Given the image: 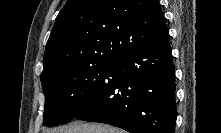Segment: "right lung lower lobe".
Wrapping results in <instances>:
<instances>
[{"label":"right lung lower lobe","instance_id":"obj_1","mask_svg":"<svg viewBox=\"0 0 221 133\" xmlns=\"http://www.w3.org/2000/svg\"><path fill=\"white\" fill-rule=\"evenodd\" d=\"M175 70L169 38L126 53L74 118L130 133H174Z\"/></svg>","mask_w":221,"mask_h":133}]
</instances>
